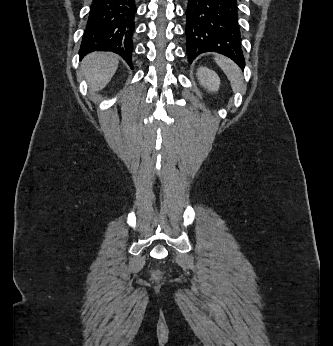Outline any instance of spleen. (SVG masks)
Returning <instances> with one entry per match:
<instances>
[{"mask_svg": "<svg viewBox=\"0 0 333 346\" xmlns=\"http://www.w3.org/2000/svg\"><path fill=\"white\" fill-rule=\"evenodd\" d=\"M215 61L230 80L232 89L240 91L243 85V78L239 67L231 60L222 56H217Z\"/></svg>", "mask_w": 333, "mask_h": 346, "instance_id": "obj_1", "label": "spleen"}]
</instances>
